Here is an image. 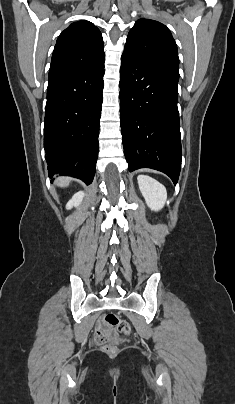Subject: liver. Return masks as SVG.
<instances>
[{"instance_id":"liver-1","label":"liver","mask_w":235,"mask_h":404,"mask_svg":"<svg viewBox=\"0 0 235 404\" xmlns=\"http://www.w3.org/2000/svg\"><path fill=\"white\" fill-rule=\"evenodd\" d=\"M69 182H70V179H69V178H66V177H62V178H59V179L57 180V184H58L59 186H61V187L68 186V185H69Z\"/></svg>"}]
</instances>
